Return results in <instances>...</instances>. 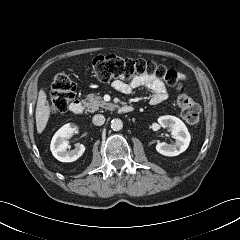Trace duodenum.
<instances>
[{
  "label": "duodenum",
  "mask_w": 240,
  "mask_h": 240,
  "mask_svg": "<svg viewBox=\"0 0 240 240\" xmlns=\"http://www.w3.org/2000/svg\"><path fill=\"white\" fill-rule=\"evenodd\" d=\"M69 110L74 115L81 114L83 111V104H82L81 100L74 99L69 105ZM133 110H134V108L131 105H123L118 108V112L123 113V114L131 113Z\"/></svg>",
  "instance_id": "410a0bca"
}]
</instances>
